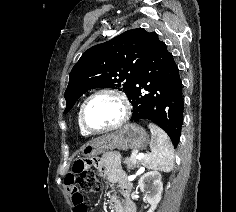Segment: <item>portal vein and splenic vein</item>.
<instances>
[{
	"label": "portal vein and splenic vein",
	"instance_id": "1",
	"mask_svg": "<svg viewBox=\"0 0 236 212\" xmlns=\"http://www.w3.org/2000/svg\"><path fill=\"white\" fill-rule=\"evenodd\" d=\"M143 156H144L143 153H138V151H134L131 155V157L134 159H141L143 158Z\"/></svg>",
	"mask_w": 236,
	"mask_h": 212
}]
</instances>
